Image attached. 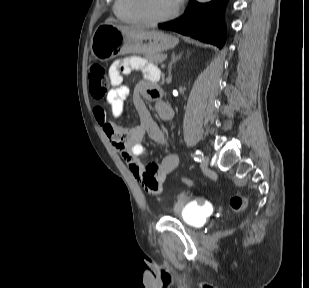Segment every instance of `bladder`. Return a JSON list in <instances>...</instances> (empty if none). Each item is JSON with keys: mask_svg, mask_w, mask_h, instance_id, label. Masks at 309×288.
I'll return each mask as SVG.
<instances>
[{"mask_svg": "<svg viewBox=\"0 0 309 288\" xmlns=\"http://www.w3.org/2000/svg\"><path fill=\"white\" fill-rule=\"evenodd\" d=\"M173 208L179 218L189 227L199 229L208 220L210 210L204 204L193 203L182 194L178 195Z\"/></svg>", "mask_w": 309, "mask_h": 288, "instance_id": "bladder-1", "label": "bladder"}]
</instances>
